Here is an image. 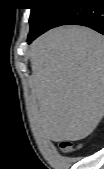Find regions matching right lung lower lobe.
I'll list each match as a JSON object with an SVG mask.
<instances>
[{
    "instance_id": "98d812e1",
    "label": "right lung lower lobe",
    "mask_w": 104,
    "mask_h": 169,
    "mask_svg": "<svg viewBox=\"0 0 104 169\" xmlns=\"http://www.w3.org/2000/svg\"><path fill=\"white\" fill-rule=\"evenodd\" d=\"M57 7L42 26L31 31L28 41H32L47 30L67 24L90 27L104 34V0H56Z\"/></svg>"
}]
</instances>
